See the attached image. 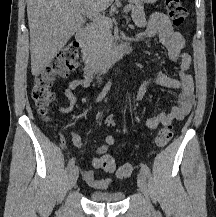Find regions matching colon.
Wrapping results in <instances>:
<instances>
[{"label": "colon", "instance_id": "colon-1", "mask_svg": "<svg viewBox=\"0 0 216 217\" xmlns=\"http://www.w3.org/2000/svg\"><path fill=\"white\" fill-rule=\"evenodd\" d=\"M166 7L169 18L175 27H180L187 16V10L181 0H166ZM80 44L78 41H70L61 51L59 56L40 73L35 76L34 84L31 90V97L38 107L39 113L45 120H49V107L53 100L51 90L54 80L58 77H66L79 65ZM105 125L113 127L115 118L109 116ZM173 136L172 125H165L156 135L155 143L158 147L166 146ZM102 169L106 172H115L120 179L128 178L133 173V167L130 164H123L116 169L114 159L111 155L107 156L102 163Z\"/></svg>", "mask_w": 216, "mask_h": 217}]
</instances>
